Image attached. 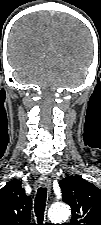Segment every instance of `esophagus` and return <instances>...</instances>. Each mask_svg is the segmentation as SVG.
<instances>
[{"label":"esophagus","mask_w":101,"mask_h":225,"mask_svg":"<svg viewBox=\"0 0 101 225\" xmlns=\"http://www.w3.org/2000/svg\"><path fill=\"white\" fill-rule=\"evenodd\" d=\"M39 183L44 187H50L51 179L48 176H42L39 180Z\"/></svg>","instance_id":"1"}]
</instances>
